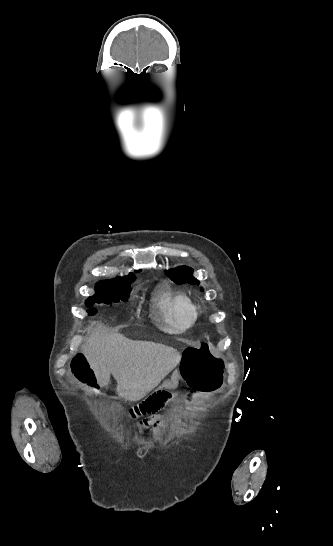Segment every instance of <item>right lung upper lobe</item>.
I'll return each mask as SVG.
<instances>
[{"label": "right lung upper lobe", "mask_w": 333, "mask_h": 546, "mask_svg": "<svg viewBox=\"0 0 333 546\" xmlns=\"http://www.w3.org/2000/svg\"><path fill=\"white\" fill-rule=\"evenodd\" d=\"M129 275L131 276V275H134V274H133V273H130Z\"/></svg>", "instance_id": "right-lung-upper-lobe-1"}]
</instances>
